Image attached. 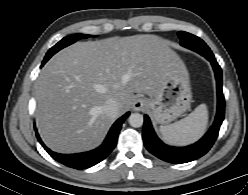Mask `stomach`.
<instances>
[{"instance_id": "obj_1", "label": "stomach", "mask_w": 248, "mask_h": 195, "mask_svg": "<svg viewBox=\"0 0 248 195\" xmlns=\"http://www.w3.org/2000/svg\"><path fill=\"white\" fill-rule=\"evenodd\" d=\"M146 101L156 123L168 124L182 116L192 102L190 80L185 66L174 68L159 92Z\"/></svg>"}]
</instances>
